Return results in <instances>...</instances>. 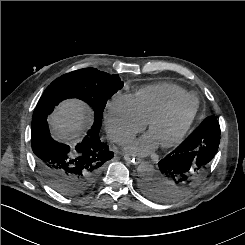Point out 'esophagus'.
I'll use <instances>...</instances> for the list:
<instances>
[{"mask_svg": "<svg viewBox=\"0 0 245 245\" xmlns=\"http://www.w3.org/2000/svg\"><path fill=\"white\" fill-rule=\"evenodd\" d=\"M124 160L129 162L131 165H138L139 163H141V160L138 159V158H135V157H131V156H128V155H125L124 157Z\"/></svg>", "mask_w": 245, "mask_h": 245, "instance_id": "esophagus-1", "label": "esophagus"}]
</instances>
